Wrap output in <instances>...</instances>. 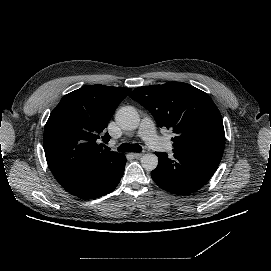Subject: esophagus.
Returning a JSON list of instances; mask_svg holds the SVG:
<instances>
[{
	"mask_svg": "<svg viewBox=\"0 0 271 271\" xmlns=\"http://www.w3.org/2000/svg\"><path fill=\"white\" fill-rule=\"evenodd\" d=\"M143 154H144L143 152H141V153H134L133 156L135 158H141L143 156Z\"/></svg>",
	"mask_w": 271,
	"mask_h": 271,
	"instance_id": "esophagus-1",
	"label": "esophagus"
}]
</instances>
